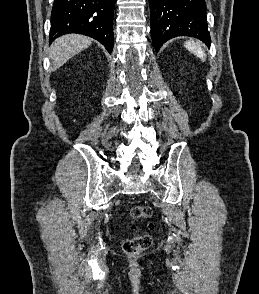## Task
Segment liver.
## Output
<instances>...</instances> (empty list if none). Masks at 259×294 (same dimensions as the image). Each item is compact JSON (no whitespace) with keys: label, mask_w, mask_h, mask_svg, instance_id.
Masks as SVG:
<instances>
[{"label":"liver","mask_w":259,"mask_h":294,"mask_svg":"<svg viewBox=\"0 0 259 294\" xmlns=\"http://www.w3.org/2000/svg\"><path fill=\"white\" fill-rule=\"evenodd\" d=\"M92 43L89 37L68 34L57 38L50 47L49 57L52 61L53 69L60 68L73 56L88 48Z\"/></svg>","instance_id":"1"}]
</instances>
